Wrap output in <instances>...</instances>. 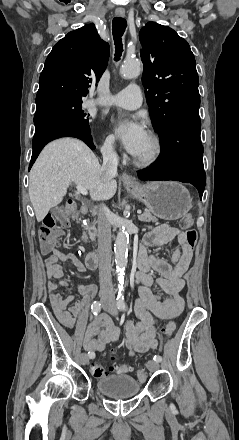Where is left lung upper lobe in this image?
Listing matches in <instances>:
<instances>
[{
    "instance_id": "1",
    "label": "left lung upper lobe",
    "mask_w": 239,
    "mask_h": 440,
    "mask_svg": "<svg viewBox=\"0 0 239 440\" xmlns=\"http://www.w3.org/2000/svg\"><path fill=\"white\" fill-rule=\"evenodd\" d=\"M139 38L144 64L142 83L154 129L161 135L175 120L199 118V78L188 42L156 22H148Z\"/></svg>"
}]
</instances>
